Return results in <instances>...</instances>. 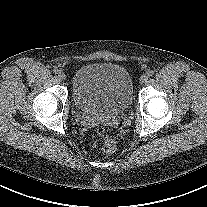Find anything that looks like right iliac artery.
Here are the masks:
<instances>
[{
	"instance_id": "obj_1",
	"label": "right iliac artery",
	"mask_w": 207,
	"mask_h": 207,
	"mask_svg": "<svg viewBox=\"0 0 207 207\" xmlns=\"http://www.w3.org/2000/svg\"><path fill=\"white\" fill-rule=\"evenodd\" d=\"M58 71H59V70H58L57 68H54V69H53V73H55V74H57Z\"/></svg>"
}]
</instances>
